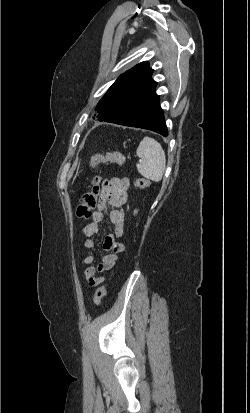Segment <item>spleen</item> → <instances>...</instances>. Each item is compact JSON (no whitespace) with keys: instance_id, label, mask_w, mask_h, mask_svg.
Masks as SVG:
<instances>
[{"instance_id":"1","label":"spleen","mask_w":250,"mask_h":413,"mask_svg":"<svg viewBox=\"0 0 250 413\" xmlns=\"http://www.w3.org/2000/svg\"><path fill=\"white\" fill-rule=\"evenodd\" d=\"M136 154L140 158L136 164L138 172L152 181H161L166 167V156L161 145L155 139L146 136L140 142Z\"/></svg>"}]
</instances>
